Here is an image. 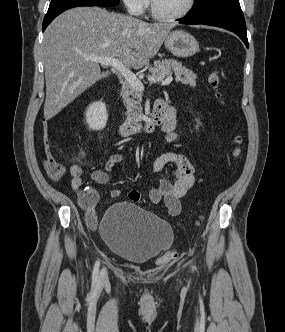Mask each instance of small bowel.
<instances>
[{
  "instance_id": "c3829d8e",
  "label": "small bowel",
  "mask_w": 285,
  "mask_h": 332,
  "mask_svg": "<svg viewBox=\"0 0 285 332\" xmlns=\"http://www.w3.org/2000/svg\"><path fill=\"white\" fill-rule=\"evenodd\" d=\"M176 121L172 110L170 109V116L166 123L162 126L166 133L168 142H175L178 140V134L175 131ZM122 161L120 154H114L106 161L103 169H96L92 171L91 180L98 184H106L109 181V176L112 170L118 166ZM173 167V175L175 181L171 182L165 178L159 177L156 183L149 190V200L153 204L164 203L171 216H176L181 211L180 199L194 185V168L190 160L176 151H168L158 156L153 164L152 170L154 173H160L166 166ZM69 173L71 176V188L78 196V205L85 211V220L87 225L95 229L98 226L99 219L95 211V206L99 200V194L93 188L83 187L81 166L74 164L70 167ZM122 194L121 190L113 189L110 192L112 198H118ZM129 199L137 203L141 199V194L137 190H131L128 194Z\"/></svg>"
}]
</instances>
